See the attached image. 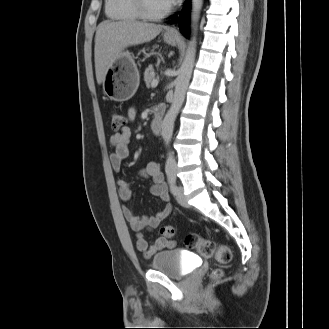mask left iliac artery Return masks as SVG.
Listing matches in <instances>:
<instances>
[{
    "mask_svg": "<svg viewBox=\"0 0 329 329\" xmlns=\"http://www.w3.org/2000/svg\"><path fill=\"white\" fill-rule=\"evenodd\" d=\"M167 180L170 187V191L173 195H176L178 192V187L176 185V174L174 172H170L167 174Z\"/></svg>",
    "mask_w": 329,
    "mask_h": 329,
    "instance_id": "44dca946",
    "label": "left iliac artery"
}]
</instances>
